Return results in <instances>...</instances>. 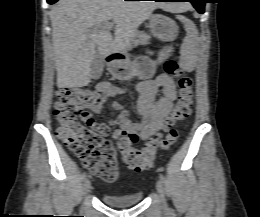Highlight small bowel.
I'll return each instance as SVG.
<instances>
[{
	"label": "small bowel",
	"instance_id": "small-bowel-1",
	"mask_svg": "<svg viewBox=\"0 0 260 217\" xmlns=\"http://www.w3.org/2000/svg\"><path fill=\"white\" fill-rule=\"evenodd\" d=\"M96 90L111 100L112 108L118 113L115 119L103 127L108 133L111 131L115 139L124 135L130 142H136L138 139L147 140L156 135L162 129L177 95L175 81L167 74L162 73L154 80L140 82L137 85L139 98L136 104L140 121L133 122L124 104L113 100L117 95L124 93L123 88L104 81L96 86ZM89 109L94 113L100 112V108L96 106ZM82 118L89 121L92 117L87 111Z\"/></svg>",
	"mask_w": 260,
	"mask_h": 217
}]
</instances>
